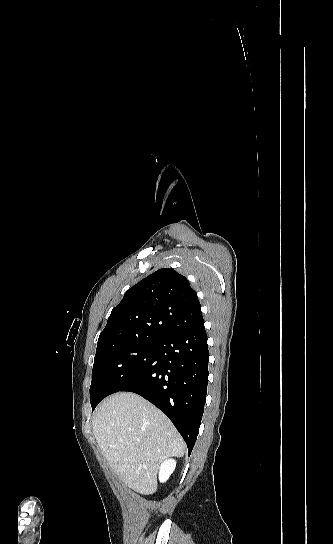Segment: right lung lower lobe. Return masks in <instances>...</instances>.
Returning <instances> with one entry per match:
<instances>
[{
  "mask_svg": "<svg viewBox=\"0 0 333 544\" xmlns=\"http://www.w3.org/2000/svg\"><path fill=\"white\" fill-rule=\"evenodd\" d=\"M203 318L168 333L153 356L120 391L144 397L172 421L190 455L199 432L208 382L209 351Z\"/></svg>",
  "mask_w": 333,
  "mask_h": 544,
  "instance_id": "obj_1",
  "label": "right lung lower lobe"
}]
</instances>
